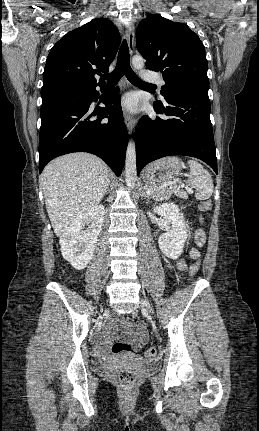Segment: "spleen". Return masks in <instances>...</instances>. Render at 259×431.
<instances>
[{
  "instance_id": "3e777b00",
  "label": "spleen",
  "mask_w": 259,
  "mask_h": 431,
  "mask_svg": "<svg viewBox=\"0 0 259 431\" xmlns=\"http://www.w3.org/2000/svg\"><path fill=\"white\" fill-rule=\"evenodd\" d=\"M190 173L188 175L187 186L195 189L197 200H207L212 196L214 184L207 169L195 160H188Z\"/></svg>"
}]
</instances>
